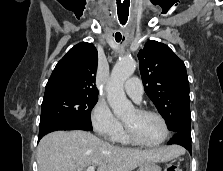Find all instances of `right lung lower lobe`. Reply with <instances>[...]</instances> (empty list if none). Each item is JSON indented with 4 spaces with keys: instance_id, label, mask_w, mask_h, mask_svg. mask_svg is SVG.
Listing matches in <instances>:
<instances>
[{
    "instance_id": "1",
    "label": "right lung lower lobe",
    "mask_w": 223,
    "mask_h": 171,
    "mask_svg": "<svg viewBox=\"0 0 223 171\" xmlns=\"http://www.w3.org/2000/svg\"><path fill=\"white\" fill-rule=\"evenodd\" d=\"M86 130L92 131V126L86 125L82 122L73 119H60L49 122L39 129L38 141L47 133L57 130Z\"/></svg>"
}]
</instances>
